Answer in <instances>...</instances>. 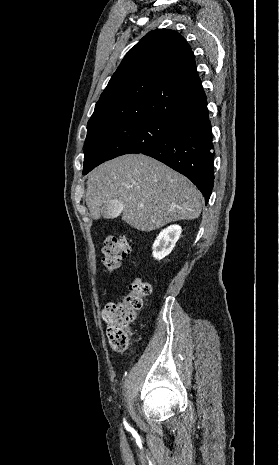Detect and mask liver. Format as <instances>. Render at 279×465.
<instances>
[{"label": "liver", "mask_w": 279, "mask_h": 465, "mask_svg": "<svg viewBox=\"0 0 279 465\" xmlns=\"http://www.w3.org/2000/svg\"><path fill=\"white\" fill-rule=\"evenodd\" d=\"M112 200L120 202L122 220L142 232L193 220L202 206V195L188 178L143 154L117 157L88 174L86 205L91 218L98 220L102 207Z\"/></svg>", "instance_id": "6515ba94"}]
</instances>
